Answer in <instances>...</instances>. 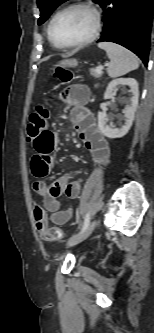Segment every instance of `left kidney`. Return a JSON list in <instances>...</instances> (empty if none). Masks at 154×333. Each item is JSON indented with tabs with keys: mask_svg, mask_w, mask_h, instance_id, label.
Masks as SVG:
<instances>
[{
	"mask_svg": "<svg viewBox=\"0 0 154 333\" xmlns=\"http://www.w3.org/2000/svg\"><path fill=\"white\" fill-rule=\"evenodd\" d=\"M119 85H127L130 88V92L132 93V97L126 100L127 105L124 109V120L125 123L120 127H116L113 124L112 119L109 118L103 111L98 112V127L102 134L108 138H121L125 136L130 130L135 112L138 105L139 98V90L138 83L133 78H119L112 80L104 93V99H109L114 96V90Z\"/></svg>",
	"mask_w": 154,
	"mask_h": 333,
	"instance_id": "5707ae66",
	"label": "left kidney"
}]
</instances>
